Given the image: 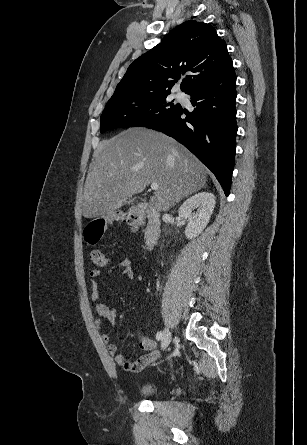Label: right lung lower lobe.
<instances>
[{
    "label": "right lung lower lobe",
    "instance_id": "1",
    "mask_svg": "<svg viewBox=\"0 0 307 445\" xmlns=\"http://www.w3.org/2000/svg\"><path fill=\"white\" fill-rule=\"evenodd\" d=\"M196 106L192 113L182 107L147 128L175 138L204 163L229 195L236 150V75L231 63L210 79L186 92ZM185 113L187 117L181 118Z\"/></svg>",
    "mask_w": 307,
    "mask_h": 445
}]
</instances>
